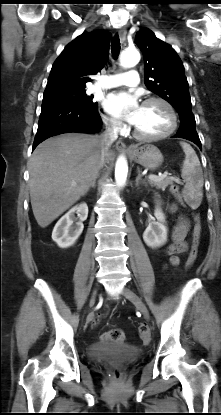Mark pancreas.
<instances>
[{
	"label": "pancreas",
	"mask_w": 221,
	"mask_h": 415,
	"mask_svg": "<svg viewBox=\"0 0 221 415\" xmlns=\"http://www.w3.org/2000/svg\"><path fill=\"white\" fill-rule=\"evenodd\" d=\"M151 186L156 187L157 189L165 190L168 185L173 184V180L170 178H159L157 180H149ZM177 189H172V193H176Z\"/></svg>",
	"instance_id": "obj_1"
}]
</instances>
